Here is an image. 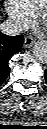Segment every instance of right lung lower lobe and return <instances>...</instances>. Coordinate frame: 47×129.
<instances>
[{
    "label": "right lung lower lobe",
    "instance_id": "1",
    "mask_svg": "<svg viewBox=\"0 0 47 129\" xmlns=\"http://www.w3.org/2000/svg\"><path fill=\"white\" fill-rule=\"evenodd\" d=\"M23 36H8L0 33V85L9 75L8 62L12 56L21 51Z\"/></svg>",
    "mask_w": 47,
    "mask_h": 129
}]
</instances>
